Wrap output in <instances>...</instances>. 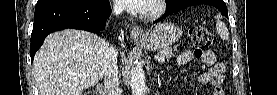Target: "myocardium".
Instances as JSON below:
<instances>
[{
    "label": "myocardium",
    "instance_id": "myocardium-1",
    "mask_svg": "<svg viewBox=\"0 0 277 95\" xmlns=\"http://www.w3.org/2000/svg\"><path fill=\"white\" fill-rule=\"evenodd\" d=\"M154 4L153 9L151 10H140L137 11V14L144 20H155L159 18L166 9V1L165 0H150Z\"/></svg>",
    "mask_w": 277,
    "mask_h": 95
}]
</instances>
